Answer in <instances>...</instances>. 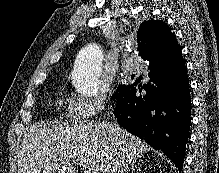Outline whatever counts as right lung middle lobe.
I'll return each mask as SVG.
<instances>
[{
  "instance_id": "1",
  "label": "right lung middle lobe",
  "mask_w": 219,
  "mask_h": 173,
  "mask_svg": "<svg viewBox=\"0 0 219 173\" xmlns=\"http://www.w3.org/2000/svg\"><path fill=\"white\" fill-rule=\"evenodd\" d=\"M126 87L127 85H119L115 93L112 95V98L115 99Z\"/></svg>"
}]
</instances>
